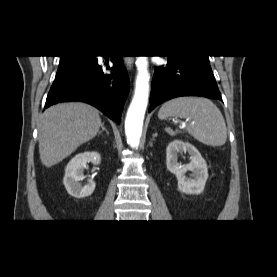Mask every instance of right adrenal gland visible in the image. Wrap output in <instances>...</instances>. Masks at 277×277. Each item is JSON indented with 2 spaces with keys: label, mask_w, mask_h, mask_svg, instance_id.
<instances>
[{
  "label": "right adrenal gland",
  "mask_w": 277,
  "mask_h": 277,
  "mask_svg": "<svg viewBox=\"0 0 277 277\" xmlns=\"http://www.w3.org/2000/svg\"><path fill=\"white\" fill-rule=\"evenodd\" d=\"M103 131L106 132L107 135H109L108 130L104 127V124H102V130L99 132V134H101Z\"/></svg>",
  "instance_id": "1"
}]
</instances>
